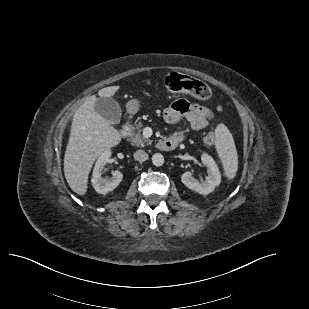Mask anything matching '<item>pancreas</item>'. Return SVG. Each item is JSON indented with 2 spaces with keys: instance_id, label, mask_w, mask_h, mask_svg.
<instances>
[{
  "instance_id": "pancreas-1",
  "label": "pancreas",
  "mask_w": 309,
  "mask_h": 309,
  "mask_svg": "<svg viewBox=\"0 0 309 309\" xmlns=\"http://www.w3.org/2000/svg\"><path fill=\"white\" fill-rule=\"evenodd\" d=\"M141 127V124L132 127L133 132L131 135V141L134 145L138 147H144L145 145H149L152 143L150 139H146L142 136Z\"/></svg>"
}]
</instances>
